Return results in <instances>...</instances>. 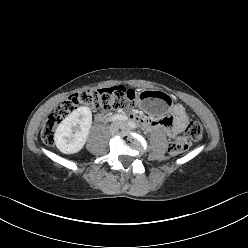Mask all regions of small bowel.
<instances>
[{"mask_svg": "<svg viewBox=\"0 0 248 248\" xmlns=\"http://www.w3.org/2000/svg\"><path fill=\"white\" fill-rule=\"evenodd\" d=\"M147 129L161 128L170 138L177 137L187 123V115L182 105L178 104L173 109L172 117H163L161 119H149L139 116L135 117Z\"/></svg>", "mask_w": 248, "mask_h": 248, "instance_id": "small-bowel-1", "label": "small bowel"}]
</instances>
